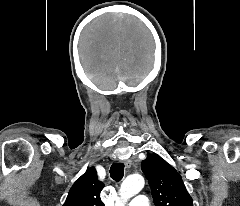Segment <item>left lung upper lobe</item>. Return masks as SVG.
<instances>
[{
  "mask_svg": "<svg viewBox=\"0 0 240 206\" xmlns=\"http://www.w3.org/2000/svg\"><path fill=\"white\" fill-rule=\"evenodd\" d=\"M156 206H193L180 174L160 156L149 155L141 164Z\"/></svg>",
  "mask_w": 240,
  "mask_h": 206,
  "instance_id": "5c2ea615",
  "label": "left lung upper lobe"
}]
</instances>
